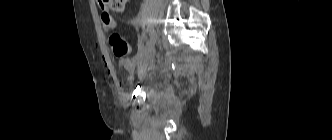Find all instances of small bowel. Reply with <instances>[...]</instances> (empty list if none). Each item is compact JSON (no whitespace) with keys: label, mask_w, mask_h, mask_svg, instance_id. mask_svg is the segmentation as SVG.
<instances>
[{"label":"small bowel","mask_w":332,"mask_h":140,"mask_svg":"<svg viewBox=\"0 0 332 140\" xmlns=\"http://www.w3.org/2000/svg\"><path fill=\"white\" fill-rule=\"evenodd\" d=\"M149 61L150 60H148V62L146 63H141L138 65L137 76L140 80H143L146 77L147 72L150 69ZM118 65L120 70L126 71L128 73V81L132 82L135 77V68H136L135 61L128 58H121L119 60Z\"/></svg>","instance_id":"c3829d8e"}]
</instances>
